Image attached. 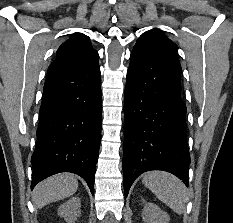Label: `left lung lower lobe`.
<instances>
[{"label": "left lung lower lobe", "instance_id": "obj_1", "mask_svg": "<svg viewBox=\"0 0 233 223\" xmlns=\"http://www.w3.org/2000/svg\"><path fill=\"white\" fill-rule=\"evenodd\" d=\"M181 66L145 42L130 56L124 94V191L150 170H163L188 183L190 154L186 106L181 99Z\"/></svg>", "mask_w": 233, "mask_h": 223}]
</instances>
